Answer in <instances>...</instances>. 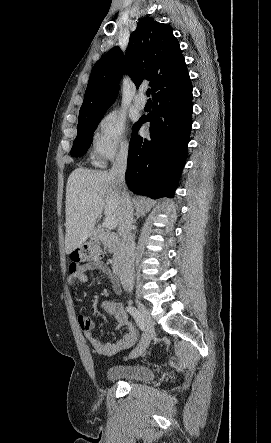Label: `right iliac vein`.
Segmentation results:
<instances>
[{"mask_svg":"<svg viewBox=\"0 0 271 443\" xmlns=\"http://www.w3.org/2000/svg\"><path fill=\"white\" fill-rule=\"evenodd\" d=\"M140 315L145 323V332L142 336V339L139 343V345L131 352L130 357L136 358L140 355H142L146 348L148 347L151 339L154 335V323L149 315L148 310L146 307L139 301H136Z\"/></svg>","mask_w":271,"mask_h":443,"instance_id":"obj_1","label":"right iliac vein"}]
</instances>
